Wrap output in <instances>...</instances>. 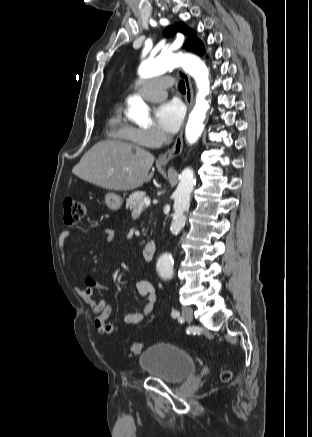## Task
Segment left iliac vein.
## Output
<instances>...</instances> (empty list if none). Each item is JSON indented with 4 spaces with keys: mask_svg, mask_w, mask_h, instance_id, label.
Wrapping results in <instances>:
<instances>
[{
    "mask_svg": "<svg viewBox=\"0 0 312 437\" xmlns=\"http://www.w3.org/2000/svg\"><path fill=\"white\" fill-rule=\"evenodd\" d=\"M182 316L186 321L192 322L193 321V309L189 306L182 307Z\"/></svg>",
    "mask_w": 312,
    "mask_h": 437,
    "instance_id": "4c4485c4",
    "label": "left iliac vein"
}]
</instances>
